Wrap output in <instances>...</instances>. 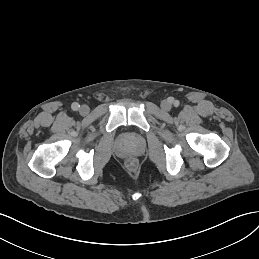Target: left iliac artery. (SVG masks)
Segmentation results:
<instances>
[{
    "label": "left iliac artery",
    "mask_w": 259,
    "mask_h": 259,
    "mask_svg": "<svg viewBox=\"0 0 259 259\" xmlns=\"http://www.w3.org/2000/svg\"><path fill=\"white\" fill-rule=\"evenodd\" d=\"M174 105L178 106L179 105V101H175Z\"/></svg>",
    "instance_id": "obj_1"
}]
</instances>
